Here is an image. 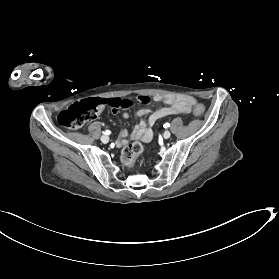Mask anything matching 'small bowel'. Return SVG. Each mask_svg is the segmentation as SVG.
<instances>
[{"mask_svg": "<svg viewBox=\"0 0 279 279\" xmlns=\"http://www.w3.org/2000/svg\"><path fill=\"white\" fill-rule=\"evenodd\" d=\"M156 102H164L168 106L159 108L154 111H148L146 109H140L137 112V116L140 118L138 125L133 129L132 132L124 129L122 130L116 140V145L122 147L131 140H141L143 142H150L153 138L152 130L147 126L146 122L142 117L149 114L148 124L153 126L159 119L170 115L176 114H187L190 112L194 99L191 97H179L175 98L172 96L156 95L154 97ZM129 114L123 113V118L127 119Z\"/></svg>", "mask_w": 279, "mask_h": 279, "instance_id": "c3829d8e", "label": "small bowel"}]
</instances>
